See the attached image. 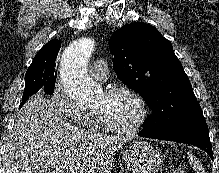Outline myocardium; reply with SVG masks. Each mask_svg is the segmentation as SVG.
<instances>
[{
  "label": "myocardium",
  "mask_w": 219,
  "mask_h": 173,
  "mask_svg": "<svg viewBox=\"0 0 219 173\" xmlns=\"http://www.w3.org/2000/svg\"><path fill=\"white\" fill-rule=\"evenodd\" d=\"M105 93L110 96L116 95L119 93H125V94L130 95L137 102L140 113H139V117L136 123L133 126L129 128H118L112 125L110 122H108L106 118L100 112L96 111L97 118L101 126L103 127V129L107 132H110V133H113L119 136H130V135H134L138 133L145 125L148 119V116H149V107H148L146 100L143 98V96L139 92H137L135 89L128 87V86H124V85L112 86L108 88L105 91Z\"/></svg>",
  "instance_id": "1"
}]
</instances>
